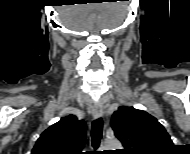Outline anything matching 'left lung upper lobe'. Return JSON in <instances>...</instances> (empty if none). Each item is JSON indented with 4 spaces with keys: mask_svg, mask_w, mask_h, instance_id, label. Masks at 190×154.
<instances>
[{
    "mask_svg": "<svg viewBox=\"0 0 190 154\" xmlns=\"http://www.w3.org/2000/svg\"><path fill=\"white\" fill-rule=\"evenodd\" d=\"M111 125L124 146L123 154H160L173 146L165 128L146 111L120 106Z\"/></svg>",
    "mask_w": 190,
    "mask_h": 154,
    "instance_id": "obj_1",
    "label": "left lung upper lobe"
}]
</instances>
